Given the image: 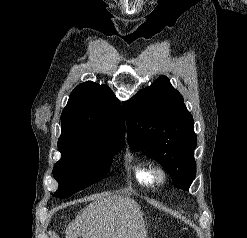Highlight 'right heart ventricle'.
<instances>
[{
  "label": "right heart ventricle",
  "mask_w": 247,
  "mask_h": 238,
  "mask_svg": "<svg viewBox=\"0 0 247 238\" xmlns=\"http://www.w3.org/2000/svg\"><path fill=\"white\" fill-rule=\"evenodd\" d=\"M131 170L135 180L138 183L146 186H150L153 184L151 167L149 164L141 161H133L131 163Z\"/></svg>",
  "instance_id": "e07e8e85"
}]
</instances>
